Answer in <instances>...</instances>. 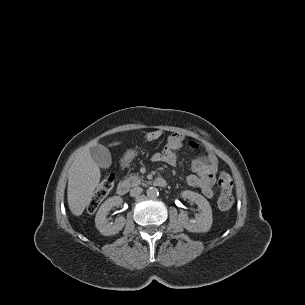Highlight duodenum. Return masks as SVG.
Segmentation results:
<instances>
[{
	"label": "duodenum",
	"instance_id": "410a0bca",
	"mask_svg": "<svg viewBox=\"0 0 305 305\" xmlns=\"http://www.w3.org/2000/svg\"><path fill=\"white\" fill-rule=\"evenodd\" d=\"M153 184L157 187H165L167 185V181L164 178H156ZM129 190V184L126 181H122L117 186V193L119 195L127 194Z\"/></svg>",
	"mask_w": 305,
	"mask_h": 305
}]
</instances>
